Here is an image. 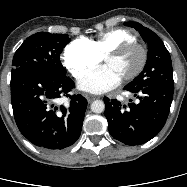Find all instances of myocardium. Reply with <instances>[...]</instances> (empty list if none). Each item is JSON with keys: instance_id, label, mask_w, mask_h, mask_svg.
Wrapping results in <instances>:
<instances>
[{"instance_id": "myocardium-1", "label": "myocardium", "mask_w": 187, "mask_h": 187, "mask_svg": "<svg viewBox=\"0 0 187 187\" xmlns=\"http://www.w3.org/2000/svg\"><path fill=\"white\" fill-rule=\"evenodd\" d=\"M132 49H138L140 51V54H141L140 61L137 67L131 73H129L128 75L122 78L124 81H130V80L135 79L143 71V69L145 68L146 62H147L146 48L142 44L138 43L137 41L125 42L109 50L103 56V60H105L108 57H118Z\"/></svg>"}]
</instances>
